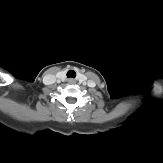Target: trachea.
<instances>
[{"label":"trachea","mask_w":163,"mask_h":163,"mask_svg":"<svg viewBox=\"0 0 163 163\" xmlns=\"http://www.w3.org/2000/svg\"><path fill=\"white\" fill-rule=\"evenodd\" d=\"M67 77L68 78H75L76 77V72L74 71V70H69L68 72H67Z\"/></svg>","instance_id":"trachea-1"}]
</instances>
